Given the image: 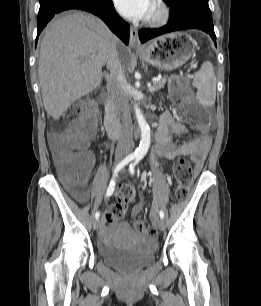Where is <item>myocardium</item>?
Here are the masks:
<instances>
[{"instance_id": "obj_1", "label": "myocardium", "mask_w": 261, "mask_h": 306, "mask_svg": "<svg viewBox=\"0 0 261 306\" xmlns=\"http://www.w3.org/2000/svg\"><path fill=\"white\" fill-rule=\"evenodd\" d=\"M171 11L164 0H155L151 13L146 19L150 26H162L170 19Z\"/></svg>"}]
</instances>
